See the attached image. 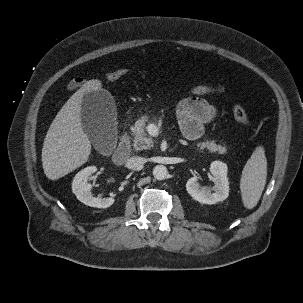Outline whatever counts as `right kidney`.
Masks as SVG:
<instances>
[{
	"label": "right kidney",
	"mask_w": 303,
	"mask_h": 303,
	"mask_svg": "<svg viewBox=\"0 0 303 303\" xmlns=\"http://www.w3.org/2000/svg\"><path fill=\"white\" fill-rule=\"evenodd\" d=\"M95 166L86 167L76 174L72 182V191L77 199L85 205L96 208H108L114 203L112 197L97 198L91 192V185L88 183V178L95 173Z\"/></svg>",
	"instance_id": "ca27d5eb"
}]
</instances>
